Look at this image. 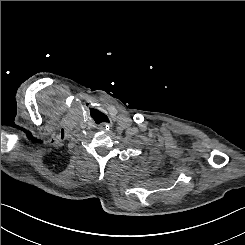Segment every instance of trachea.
<instances>
[{"instance_id": "trachea-1", "label": "trachea", "mask_w": 245, "mask_h": 245, "mask_svg": "<svg viewBox=\"0 0 245 245\" xmlns=\"http://www.w3.org/2000/svg\"><path fill=\"white\" fill-rule=\"evenodd\" d=\"M95 121H96L97 124H100V123H102V122H109V119H108V117H107L106 115L100 113V114L97 116V118H96Z\"/></svg>"}]
</instances>
